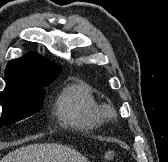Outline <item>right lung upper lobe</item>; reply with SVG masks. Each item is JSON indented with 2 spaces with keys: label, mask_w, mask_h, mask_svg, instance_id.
Segmentation results:
<instances>
[{
  "label": "right lung upper lobe",
  "mask_w": 168,
  "mask_h": 162,
  "mask_svg": "<svg viewBox=\"0 0 168 162\" xmlns=\"http://www.w3.org/2000/svg\"><path fill=\"white\" fill-rule=\"evenodd\" d=\"M60 71L58 64L37 55L13 59L5 70L6 88L3 92L14 90L25 83L53 82Z\"/></svg>",
  "instance_id": "1"
}]
</instances>
